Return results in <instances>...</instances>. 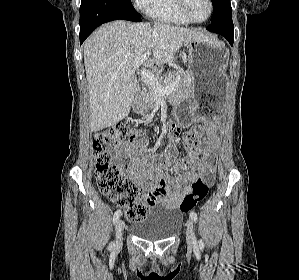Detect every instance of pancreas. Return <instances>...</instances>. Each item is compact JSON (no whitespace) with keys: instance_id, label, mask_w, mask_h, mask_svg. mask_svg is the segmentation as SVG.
Returning a JSON list of instances; mask_svg holds the SVG:
<instances>
[{"instance_id":"cf45deb5","label":"pancreas","mask_w":299,"mask_h":280,"mask_svg":"<svg viewBox=\"0 0 299 280\" xmlns=\"http://www.w3.org/2000/svg\"><path fill=\"white\" fill-rule=\"evenodd\" d=\"M177 76H179V82L176 87V90L181 93H189L191 88V82L187 79L185 74H183L182 72H178L176 74V77ZM176 77L171 79L169 83H172L176 79ZM157 100H158V95L151 87H149L137 99V104L139 106H142L145 110H147V109H152L156 105Z\"/></svg>"}]
</instances>
